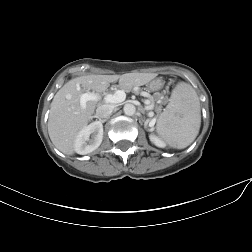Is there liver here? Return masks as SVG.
Wrapping results in <instances>:
<instances>
[{
	"instance_id": "obj_1",
	"label": "liver",
	"mask_w": 252,
	"mask_h": 252,
	"mask_svg": "<svg viewBox=\"0 0 252 252\" xmlns=\"http://www.w3.org/2000/svg\"><path fill=\"white\" fill-rule=\"evenodd\" d=\"M155 77L150 73H126L122 75H85L71 79L54 96L48 119V133L52 143L62 153L72 155L74 142L93 118L97 101H87L85 108L80 98L85 92L105 91L110 83L119 82L122 89L142 86Z\"/></svg>"
}]
</instances>
